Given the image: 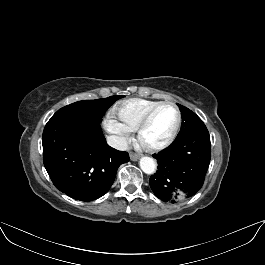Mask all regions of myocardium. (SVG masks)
Instances as JSON below:
<instances>
[{"mask_svg": "<svg viewBox=\"0 0 265 265\" xmlns=\"http://www.w3.org/2000/svg\"><path fill=\"white\" fill-rule=\"evenodd\" d=\"M164 106H171L175 109L176 115H177L175 126H174L172 132L170 133V135L163 142H161L160 144H157V145H147L142 141V133H143L144 129L147 127V125L149 124V122L152 119V117L154 116V114L160 108H162ZM181 122H182V114H181L179 107L175 103L170 102V101L160 102L157 105H155L154 107H152L151 109H149L145 113V115L142 117L140 122L138 123V125L135 129L137 141L140 144V146L148 152L162 151V150L166 149L167 147H169L172 144V142L175 140V138H176V136L180 130Z\"/></svg>", "mask_w": 265, "mask_h": 265, "instance_id": "f54148a6", "label": "myocardium"}]
</instances>
